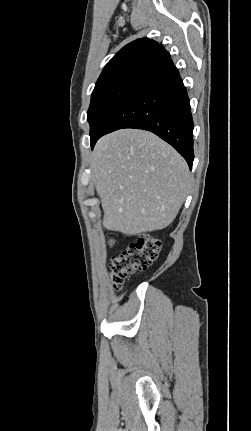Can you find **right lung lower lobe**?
I'll return each instance as SVG.
<instances>
[{"label":"right lung lower lobe","mask_w":251,"mask_h":431,"mask_svg":"<svg viewBox=\"0 0 251 431\" xmlns=\"http://www.w3.org/2000/svg\"><path fill=\"white\" fill-rule=\"evenodd\" d=\"M122 128L143 129L153 132L173 146L192 168L193 120L186 88L163 48L149 62L141 79L120 104L103 135Z\"/></svg>","instance_id":"1"}]
</instances>
